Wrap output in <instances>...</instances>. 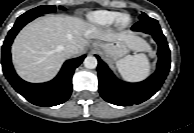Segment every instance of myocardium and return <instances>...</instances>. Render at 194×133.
Wrapping results in <instances>:
<instances>
[{"label":"myocardium","mask_w":194,"mask_h":133,"mask_svg":"<svg viewBox=\"0 0 194 133\" xmlns=\"http://www.w3.org/2000/svg\"><path fill=\"white\" fill-rule=\"evenodd\" d=\"M131 16L127 13H122L116 20V25L119 29H125L130 26L131 24Z\"/></svg>","instance_id":"myocardium-1"}]
</instances>
